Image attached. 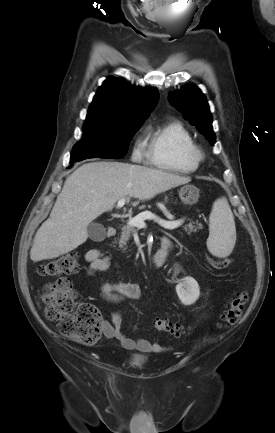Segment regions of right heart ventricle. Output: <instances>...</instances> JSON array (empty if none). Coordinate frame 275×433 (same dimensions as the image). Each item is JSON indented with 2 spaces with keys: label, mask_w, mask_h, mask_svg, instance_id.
<instances>
[{
  "label": "right heart ventricle",
  "mask_w": 275,
  "mask_h": 433,
  "mask_svg": "<svg viewBox=\"0 0 275 433\" xmlns=\"http://www.w3.org/2000/svg\"><path fill=\"white\" fill-rule=\"evenodd\" d=\"M148 162L160 169L193 173L199 167L194 156L195 140L179 121L172 120L151 127L145 139Z\"/></svg>",
  "instance_id": "obj_1"
}]
</instances>
